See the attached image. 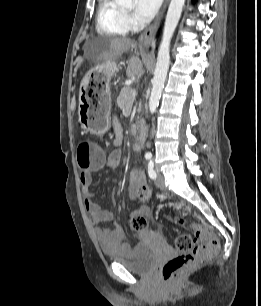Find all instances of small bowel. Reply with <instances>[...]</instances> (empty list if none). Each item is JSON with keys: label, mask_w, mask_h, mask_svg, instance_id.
Wrapping results in <instances>:
<instances>
[{"label": "small bowel", "mask_w": 261, "mask_h": 306, "mask_svg": "<svg viewBox=\"0 0 261 306\" xmlns=\"http://www.w3.org/2000/svg\"><path fill=\"white\" fill-rule=\"evenodd\" d=\"M114 149L103 161L83 170L79 175L84 207L88 213L89 221L93 225L94 234L101 248L106 252L127 254L130 245L124 240V231L121 226L113 224L110 227H104L101 224L113 219L112 210L102 208L96 201V195L91 189L92 172L107 168H116L122 160V128L119 121L114 122ZM146 187L145 176L142 171L133 169L129 176L128 193L132 199L139 198V192ZM150 209L147 206L136 208L132 216L137 214L148 215Z\"/></svg>", "instance_id": "small-bowel-1"}]
</instances>
